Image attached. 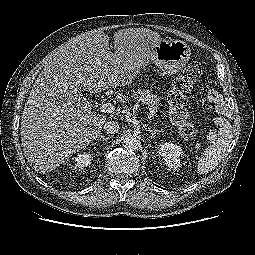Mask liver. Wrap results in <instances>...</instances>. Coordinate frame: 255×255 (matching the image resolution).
<instances>
[{"instance_id":"1","label":"liver","mask_w":255,"mask_h":255,"mask_svg":"<svg viewBox=\"0 0 255 255\" xmlns=\"http://www.w3.org/2000/svg\"><path fill=\"white\" fill-rule=\"evenodd\" d=\"M161 37L146 28L122 29L109 37L89 31L58 49L35 81L21 120L24 155L45 174L100 135L106 117L94 114L82 90L99 93L129 85L154 54Z\"/></svg>"}]
</instances>
